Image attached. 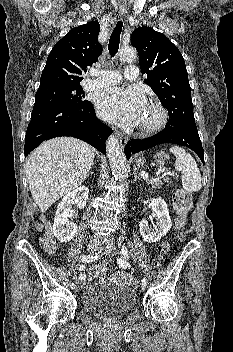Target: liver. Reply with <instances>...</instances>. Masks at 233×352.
I'll return each mask as SVG.
<instances>
[{
    "instance_id": "1",
    "label": "liver",
    "mask_w": 233,
    "mask_h": 352,
    "mask_svg": "<svg viewBox=\"0 0 233 352\" xmlns=\"http://www.w3.org/2000/svg\"><path fill=\"white\" fill-rule=\"evenodd\" d=\"M95 156L91 145L72 137L48 140L29 155V188L41 212L82 184Z\"/></svg>"
}]
</instances>
